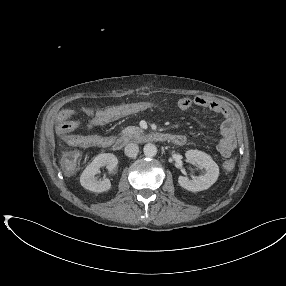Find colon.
<instances>
[{
    "label": "colon",
    "instance_id": "1",
    "mask_svg": "<svg viewBox=\"0 0 286 286\" xmlns=\"http://www.w3.org/2000/svg\"><path fill=\"white\" fill-rule=\"evenodd\" d=\"M112 114V110H107L105 112V116L109 117ZM80 161V155L76 151H70L66 153L62 158V164L65 166L66 169L71 170L74 169ZM234 167V161L229 160L225 163V168L227 170H231Z\"/></svg>",
    "mask_w": 286,
    "mask_h": 286
}]
</instances>
